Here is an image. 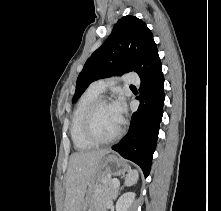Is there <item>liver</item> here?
Segmentation results:
<instances>
[{
    "instance_id": "liver-1",
    "label": "liver",
    "mask_w": 221,
    "mask_h": 211,
    "mask_svg": "<svg viewBox=\"0 0 221 211\" xmlns=\"http://www.w3.org/2000/svg\"><path fill=\"white\" fill-rule=\"evenodd\" d=\"M110 151L106 149L73 153L66 173L64 211H79L87 186L97 169L99 160Z\"/></svg>"
}]
</instances>
